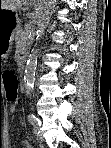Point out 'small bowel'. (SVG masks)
I'll list each match as a JSON object with an SVG mask.
<instances>
[{"mask_svg":"<svg viewBox=\"0 0 111 148\" xmlns=\"http://www.w3.org/2000/svg\"><path fill=\"white\" fill-rule=\"evenodd\" d=\"M15 112V106H11L9 108V113L13 114ZM25 146L28 147V148H31V146L27 143H25ZM5 147H8V145H6Z\"/></svg>","mask_w":111,"mask_h":148,"instance_id":"obj_1","label":"small bowel"}]
</instances>
